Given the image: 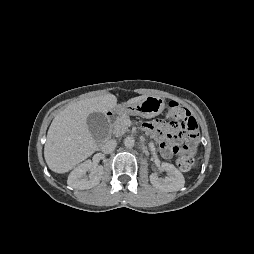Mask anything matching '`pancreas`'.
<instances>
[{
  "mask_svg": "<svg viewBox=\"0 0 254 254\" xmlns=\"http://www.w3.org/2000/svg\"><path fill=\"white\" fill-rule=\"evenodd\" d=\"M129 119V116L126 114L120 115L112 125L113 135L119 137L126 133L128 131L127 121H129Z\"/></svg>",
  "mask_w": 254,
  "mask_h": 254,
  "instance_id": "obj_1",
  "label": "pancreas"
}]
</instances>
